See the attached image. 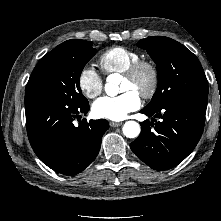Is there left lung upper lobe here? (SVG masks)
<instances>
[{
    "instance_id": "5c2ea615",
    "label": "left lung upper lobe",
    "mask_w": 221,
    "mask_h": 221,
    "mask_svg": "<svg viewBox=\"0 0 221 221\" xmlns=\"http://www.w3.org/2000/svg\"><path fill=\"white\" fill-rule=\"evenodd\" d=\"M137 45L157 64L158 87L146 109L158 108L187 93L208 94L203 68L185 46L163 36L141 39Z\"/></svg>"
}]
</instances>
